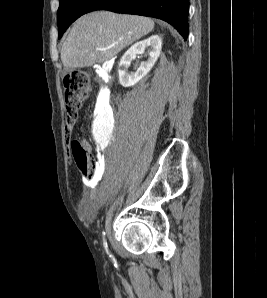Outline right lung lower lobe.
Masks as SVG:
<instances>
[{
  "label": "right lung lower lobe",
  "instance_id": "right-lung-lower-lobe-1",
  "mask_svg": "<svg viewBox=\"0 0 267 298\" xmlns=\"http://www.w3.org/2000/svg\"><path fill=\"white\" fill-rule=\"evenodd\" d=\"M189 0H98L91 11L109 10L162 19L171 24L186 40Z\"/></svg>",
  "mask_w": 267,
  "mask_h": 298
}]
</instances>
